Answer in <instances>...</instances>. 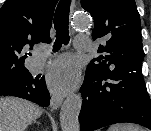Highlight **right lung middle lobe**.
I'll use <instances>...</instances> for the list:
<instances>
[{"label": "right lung middle lobe", "mask_w": 151, "mask_h": 131, "mask_svg": "<svg viewBox=\"0 0 151 131\" xmlns=\"http://www.w3.org/2000/svg\"><path fill=\"white\" fill-rule=\"evenodd\" d=\"M29 75H30V73L28 71L10 74L9 76L0 80V87H3L5 85L15 84V83L27 78Z\"/></svg>", "instance_id": "obj_1"}]
</instances>
